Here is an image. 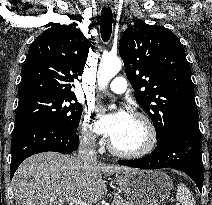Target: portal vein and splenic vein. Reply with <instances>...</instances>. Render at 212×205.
<instances>
[{
  "label": "portal vein and splenic vein",
  "instance_id": "1",
  "mask_svg": "<svg viewBox=\"0 0 212 205\" xmlns=\"http://www.w3.org/2000/svg\"><path fill=\"white\" fill-rule=\"evenodd\" d=\"M65 200L70 202V205H89L88 203L77 198H65Z\"/></svg>",
  "mask_w": 212,
  "mask_h": 205
}]
</instances>
